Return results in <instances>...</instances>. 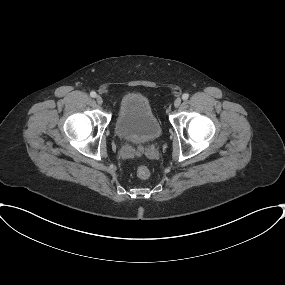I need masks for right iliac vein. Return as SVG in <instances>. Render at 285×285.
I'll use <instances>...</instances> for the list:
<instances>
[{
	"mask_svg": "<svg viewBox=\"0 0 285 285\" xmlns=\"http://www.w3.org/2000/svg\"><path fill=\"white\" fill-rule=\"evenodd\" d=\"M96 102L99 104V105H101L102 103H103V99H102V97L101 96H96Z\"/></svg>",
	"mask_w": 285,
	"mask_h": 285,
	"instance_id": "1",
	"label": "right iliac vein"
}]
</instances>
